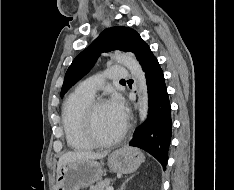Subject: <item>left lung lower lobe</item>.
I'll return each instance as SVG.
<instances>
[{
	"instance_id": "obj_1",
	"label": "left lung lower lobe",
	"mask_w": 234,
	"mask_h": 190,
	"mask_svg": "<svg viewBox=\"0 0 234 190\" xmlns=\"http://www.w3.org/2000/svg\"><path fill=\"white\" fill-rule=\"evenodd\" d=\"M136 58L145 72L149 111L147 120L135 131L129 145L150 153L165 170L171 142L172 121L163 71L147 43L138 51Z\"/></svg>"
}]
</instances>
